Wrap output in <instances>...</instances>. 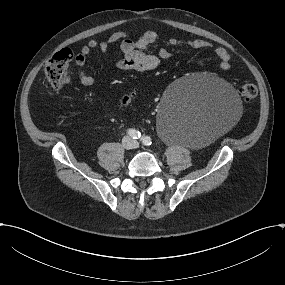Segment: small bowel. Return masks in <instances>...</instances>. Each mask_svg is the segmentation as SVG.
Segmentation results:
<instances>
[{
	"instance_id": "obj_1",
	"label": "small bowel",
	"mask_w": 285,
	"mask_h": 285,
	"mask_svg": "<svg viewBox=\"0 0 285 285\" xmlns=\"http://www.w3.org/2000/svg\"><path fill=\"white\" fill-rule=\"evenodd\" d=\"M158 41V36L153 31L144 33L137 39L130 38L124 32H116L111 34L107 39L98 41L91 39L75 54V63L79 68L78 78L82 85L91 86L94 83V77L86 71L85 63L87 57L93 50H99L105 54L111 45L120 44L121 57L116 61V67L122 71H149L157 68L161 60L171 57V52L166 48H161L156 54L149 52V49ZM173 47L181 45L176 39L169 41ZM195 50L212 49L219 60V68L222 71L230 69L231 56L228 51L221 46L215 47L211 42L195 39L186 43ZM70 83L67 78L64 85Z\"/></svg>"
}]
</instances>
